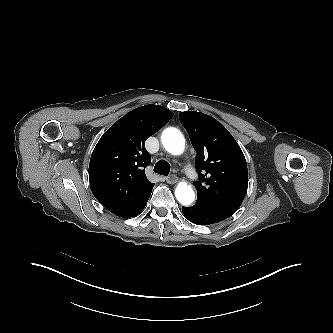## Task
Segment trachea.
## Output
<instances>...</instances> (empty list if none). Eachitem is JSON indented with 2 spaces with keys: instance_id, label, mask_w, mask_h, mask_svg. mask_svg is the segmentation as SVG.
<instances>
[{
  "instance_id": "obj_1",
  "label": "trachea",
  "mask_w": 333,
  "mask_h": 333,
  "mask_svg": "<svg viewBox=\"0 0 333 333\" xmlns=\"http://www.w3.org/2000/svg\"><path fill=\"white\" fill-rule=\"evenodd\" d=\"M154 172L163 176H168L170 164L166 160H159L154 166Z\"/></svg>"
}]
</instances>
